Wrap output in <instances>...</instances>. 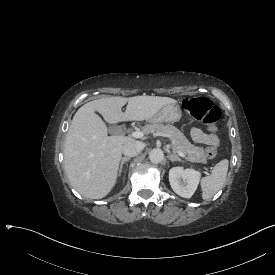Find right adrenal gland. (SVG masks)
Here are the masks:
<instances>
[{
    "label": "right adrenal gland",
    "instance_id": "right-adrenal-gland-1",
    "mask_svg": "<svg viewBox=\"0 0 275 275\" xmlns=\"http://www.w3.org/2000/svg\"><path fill=\"white\" fill-rule=\"evenodd\" d=\"M130 160L129 157H122L121 158V162H120V166H119V172H121V169H122V166H123V163Z\"/></svg>",
    "mask_w": 275,
    "mask_h": 275
}]
</instances>
